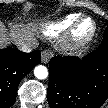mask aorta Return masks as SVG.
<instances>
[{"instance_id":"aorta-1","label":"aorta","mask_w":108,"mask_h":108,"mask_svg":"<svg viewBox=\"0 0 108 108\" xmlns=\"http://www.w3.org/2000/svg\"><path fill=\"white\" fill-rule=\"evenodd\" d=\"M34 75L38 79H45L48 76V70L43 65H38L34 69Z\"/></svg>"}]
</instances>
